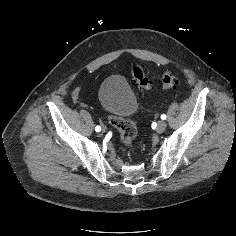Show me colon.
Wrapping results in <instances>:
<instances>
[{
    "label": "colon",
    "instance_id": "1",
    "mask_svg": "<svg viewBox=\"0 0 236 236\" xmlns=\"http://www.w3.org/2000/svg\"><path fill=\"white\" fill-rule=\"evenodd\" d=\"M131 76L134 83L145 90L153 88V82L149 78L147 72L141 67H134L131 70ZM178 85L177 77L171 72L166 71L161 76V86L163 89H174ZM110 124L117 129L122 143L132 152L138 151V146L134 143L137 131L135 125L123 118L111 115L109 117Z\"/></svg>",
    "mask_w": 236,
    "mask_h": 236
}]
</instances>
